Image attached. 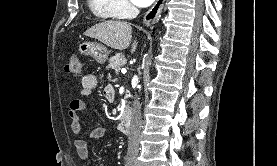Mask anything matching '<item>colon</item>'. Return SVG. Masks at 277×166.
Masks as SVG:
<instances>
[{
    "mask_svg": "<svg viewBox=\"0 0 277 166\" xmlns=\"http://www.w3.org/2000/svg\"><path fill=\"white\" fill-rule=\"evenodd\" d=\"M82 70L81 58L77 55L72 56L66 65V71L70 74L79 76L82 74Z\"/></svg>",
    "mask_w": 277,
    "mask_h": 166,
    "instance_id": "1",
    "label": "colon"
}]
</instances>
